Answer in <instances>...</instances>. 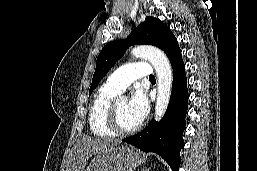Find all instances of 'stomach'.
<instances>
[{"label": "stomach", "mask_w": 257, "mask_h": 171, "mask_svg": "<svg viewBox=\"0 0 257 171\" xmlns=\"http://www.w3.org/2000/svg\"><path fill=\"white\" fill-rule=\"evenodd\" d=\"M143 161L138 151L128 147H111L95 155L85 171H134Z\"/></svg>", "instance_id": "obj_1"}]
</instances>
